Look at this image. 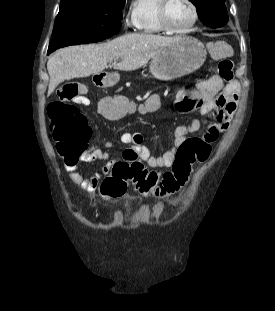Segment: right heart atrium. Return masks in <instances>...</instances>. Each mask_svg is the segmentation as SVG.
<instances>
[{"label":"right heart atrium","mask_w":275,"mask_h":311,"mask_svg":"<svg viewBox=\"0 0 275 311\" xmlns=\"http://www.w3.org/2000/svg\"><path fill=\"white\" fill-rule=\"evenodd\" d=\"M124 25H125L127 28H134V27H135V23H134L132 17H131V18H126V19H124Z\"/></svg>","instance_id":"d8ad5b80"}]
</instances>
